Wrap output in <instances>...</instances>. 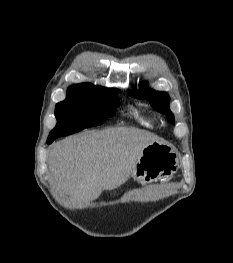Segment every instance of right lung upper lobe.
I'll use <instances>...</instances> for the list:
<instances>
[{"mask_svg":"<svg viewBox=\"0 0 233 263\" xmlns=\"http://www.w3.org/2000/svg\"><path fill=\"white\" fill-rule=\"evenodd\" d=\"M111 90L102 86H95L91 83H80L72 85L67 90V97H81V96H100L108 93Z\"/></svg>","mask_w":233,"mask_h":263,"instance_id":"right-lung-upper-lobe-1","label":"right lung upper lobe"}]
</instances>
